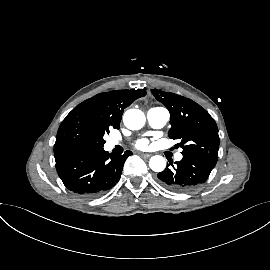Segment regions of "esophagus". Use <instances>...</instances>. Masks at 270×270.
Listing matches in <instances>:
<instances>
[{"label":"esophagus","instance_id":"34e87169","mask_svg":"<svg viewBox=\"0 0 270 270\" xmlns=\"http://www.w3.org/2000/svg\"><path fill=\"white\" fill-rule=\"evenodd\" d=\"M140 155H141L142 157H144V158H149V157H151V154H149V153H140Z\"/></svg>","mask_w":270,"mask_h":270}]
</instances>
